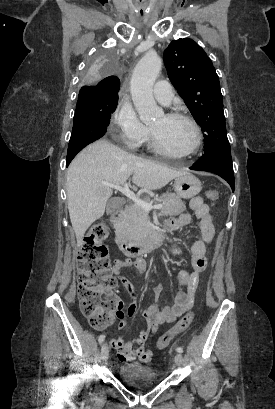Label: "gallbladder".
<instances>
[{
  "mask_svg": "<svg viewBox=\"0 0 275 409\" xmlns=\"http://www.w3.org/2000/svg\"><path fill=\"white\" fill-rule=\"evenodd\" d=\"M116 209H118L116 198H110V200H108L107 202V209H106L107 215H112V213H114Z\"/></svg>",
  "mask_w": 275,
  "mask_h": 409,
  "instance_id": "obj_1",
  "label": "gallbladder"
}]
</instances>
